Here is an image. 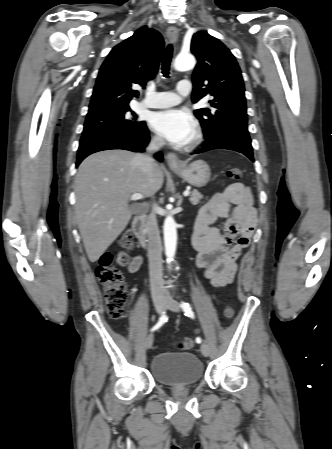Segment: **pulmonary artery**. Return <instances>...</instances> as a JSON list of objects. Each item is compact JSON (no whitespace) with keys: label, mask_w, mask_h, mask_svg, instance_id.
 I'll use <instances>...</instances> for the list:
<instances>
[{"label":"pulmonary artery","mask_w":332,"mask_h":449,"mask_svg":"<svg viewBox=\"0 0 332 449\" xmlns=\"http://www.w3.org/2000/svg\"><path fill=\"white\" fill-rule=\"evenodd\" d=\"M191 91L189 81L182 80L176 86V92H154L148 94L143 100L142 105L149 108H166L178 104L181 96H186Z\"/></svg>","instance_id":"obj_1"}]
</instances>
